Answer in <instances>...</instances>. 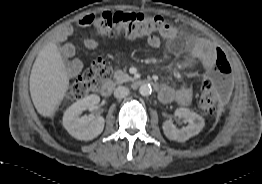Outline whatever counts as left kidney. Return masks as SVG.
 I'll use <instances>...</instances> for the list:
<instances>
[{
  "instance_id": "obj_1",
  "label": "left kidney",
  "mask_w": 262,
  "mask_h": 184,
  "mask_svg": "<svg viewBox=\"0 0 262 184\" xmlns=\"http://www.w3.org/2000/svg\"><path fill=\"white\" fill-rule=\"evenodd\" d=\"M175 115L179 118L186 119L188 125L186 127H183L182 129H177L172 121H165L162 128L165 136L170 140L184 142L189 138L197 135L205 126L204 119L188 108L176 109Z\"/></svg>"
}]
</instances>
